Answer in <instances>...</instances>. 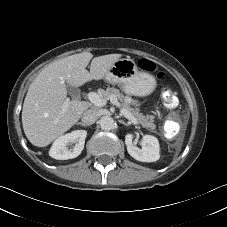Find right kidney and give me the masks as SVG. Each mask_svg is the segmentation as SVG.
Returning <instances> with one entry per match:
<instances>
[{"instance_id": "right-kidney-1", "label": "right kidney", "mask_w": 227, "mask_h": 227, "mask_svg": "<svg viewBox=\"0 0 227 227\" xmlns=\"http://www.w3.org/2000/svg\"><path fill=\"white\" fill-rule=\"evenodd\" d=\"M87 131L74 130L58 137L52 144L49 155L58 160H67L79 156L84 148ZM73 145L69 148V146Z\"/></svg>"}]
</instances>
